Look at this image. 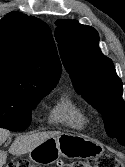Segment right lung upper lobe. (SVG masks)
<instances>
[{
	"mask_svg": "<svg viewBox=\"0 0 125 167\" xmlns=\"http://www.w3.org/2000/svg\"><path fill=\"white\" fill-rule=\"evenodd\" d=\"M61 63L48 25L20 12L0 20V90L34 93L54 88Z\"/></svg>",
	"mask_w": 125,
	"mask_h": 167,
	"instance_id": "right-lung-upper-lobe-1",
	"label": "right lung upper lobe"
}]
</instances>
